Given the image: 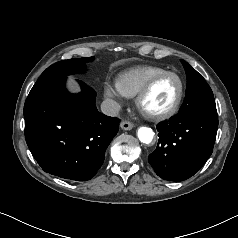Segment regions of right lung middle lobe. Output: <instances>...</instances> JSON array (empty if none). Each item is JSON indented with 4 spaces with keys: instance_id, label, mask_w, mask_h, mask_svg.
Here are the masks:
<instances>
[{
    "instance_id": "right-lung-middle-lobe-1",
    "label": "right lung middle lobe",
    "mask_w": 238,
    "mask_h": 238,
    "mask_svg": "<svg viewBox=\"0 0 238 238\" xmlns=\"http://www.w3.org/2000/svg\"><path fill=\"white\" fill-rule=\"evenodd\" d=\"M94 60V57L88 58H74L69 60H63L51 65L47 68L39 77V80L54 79L60 77H66L70 74L77 72H84L86 69V63Z\"/></svg>"
}]
</instances>
